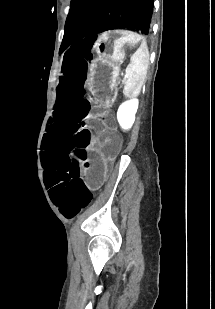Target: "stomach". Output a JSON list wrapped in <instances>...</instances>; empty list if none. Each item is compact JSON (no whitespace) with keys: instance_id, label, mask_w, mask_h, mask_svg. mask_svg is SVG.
<instances>
[{"instance_id":"1","label":"stomach","mask_w":215,"mask_h":309,"mask_svg":"<svg viewBox=\"0 0 215 309\" xmlns=\"http://www.w3.org/2000/svg\"><path fill=\"white\" fill-rule=\"evenodd\" d=\"M142 42V36L127 29L102 33L94 45L96 58L87 75V87L94 100H109L115 93L119 66L126 53Z\"/></svg>"}]
</instances>
